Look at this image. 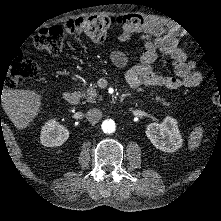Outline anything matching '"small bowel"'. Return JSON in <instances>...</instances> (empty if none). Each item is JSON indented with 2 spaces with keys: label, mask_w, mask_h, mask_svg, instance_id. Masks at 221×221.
<instances>
[{
  "label": "small bowel",
  "mask_w": 221,
  "mask_h": 221,
  "mask_svg": "<svg viewBox=\"0 0 221 221\" xmlns=\"http://www.w3.org/2000/svg\"><path fill=\"white\" fill-rule=\"evenodd\" d=\"M143 21L144 23L134 30L124 27L118 35V40L124 42L129 40L133 32L142 33L144 51L125 74L130 87L139 89L142 86H150L175 90L198 86L202 81V74L195 62L188 60L186 53L178 46V38L171 27L148 15L143 17ZM159 53L171 59L175 76H164L154 71L153 63ZM109 56L117 67H125L129 62L128 56L119 50H112Z\"/></svg>",
  "instance_id": "1"
}]
</instances>
